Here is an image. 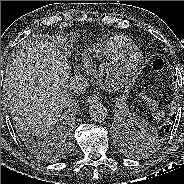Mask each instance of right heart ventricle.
<instances>
[{
	"mask_svg": "<svg viewBox=\"0 0 184 184\" xmlns=\"http://www.w3.org/2000/svg\"><path fill=\"white\" fill-rule=\"evenodd\" d=\"M133 48V44L125 38H114L101 45L94 53L99 60L116 59Z\"/></svg>",
	"mask_w": 184,
	"mask_h": 184,
	"instance_id": "e07e8e85",
	"label": "right heart ventricle"
}]
</instances>
